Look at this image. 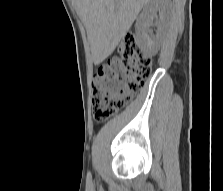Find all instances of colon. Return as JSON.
<instances>
[{
    "mask_svg": "<svg viewBox=\"0 0 223 191\" xmlns=\"http://www.w3.org/2000/svg\"><path fill=\"white\" fill-rule=\"evenodd\" d=\"M119 50L121 57H112L93 81L92 112L96 121H105L122 109L151 73L152 58L133 36H126Z\"/></svg>",
    "mask_w": 223,
    "mask_h": 191,
    "instance_id": "colon-1",
    "label": "colon"
}]
</instances>
